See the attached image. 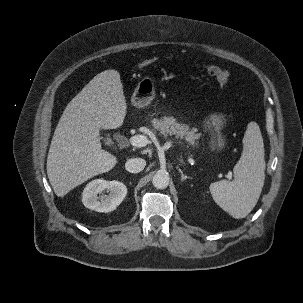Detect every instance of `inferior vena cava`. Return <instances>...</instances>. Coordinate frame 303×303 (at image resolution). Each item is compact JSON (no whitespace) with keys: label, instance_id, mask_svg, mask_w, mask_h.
Listing matches in <instances>:
<instances>
[{"label":"inferior vena cava","instance_id":"602c4592","mask_svg":"<svg viewBox=\"0 0 303 303\" xmlns=\"http://www.w3.org/2000/svg\"><path fill=\"white\" fill-rule=\"evenodd\" d=\"M146 166V161L142 158H131L125 163V168L130 173H139Z\"/></svg>","mask_w":303,"mask_h":303}]
</instances>
